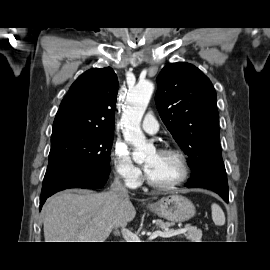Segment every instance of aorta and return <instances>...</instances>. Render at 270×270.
<instances>
[{"label": "aorta", "instance_id": "aorta-1", "mask_svg": "<svg viewBox=\"0 0 270 270\" xmlns=\"http://www.w3.org/2000/svg\"><path fill=\"white\" fill-rule=\"evenodd\" d=\"M154 85L149 80L140 81L128 93L126 107L122 114L124 139L134 146L133 159L142 161L155 152L153 144L147 143L140 124L148 106Z\"/></svg>", "mask_w": 270, "mask_h": 270}]
</instances>
